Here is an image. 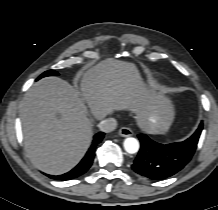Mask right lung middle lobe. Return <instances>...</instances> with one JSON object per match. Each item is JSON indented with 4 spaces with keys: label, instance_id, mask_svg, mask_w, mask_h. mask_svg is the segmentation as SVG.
Returning a JSON list of instances; mask_svg holds the SVG:
<instances>
[{
    "label": "right lung middle lobe",
    "instance_id": "right-lung-middle-lobe-1",
    "mask_svg": "<svg viewBox=\"0 0 218 210\" xmlns=\"http://www.w3.org/2000/svg\"><path fill=\"white\" fill-rule=\"evenodd\" d=\"M57 75H58V73L56 71L48 70V71L44 72L43 74H41L38 79H40L42 77H46V76H57Z\"/></svg>",
    "mask_w": 218,
    "mask_h": 210
}]
</instances>
